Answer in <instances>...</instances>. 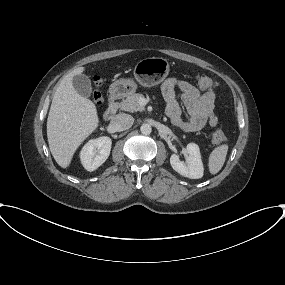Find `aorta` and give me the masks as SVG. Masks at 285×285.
Segmentation results:
<instances>
[{
  "instance_id": "1",
  "label": "aorta",
  "mask_w": 285,
  "mask_h": 285,
  "mask_svg": "<svg viewBox=\"0 0 285 285\" xmlns=\"http://www.w3.org/2000/svg\"><path fill=\"white\" fill-rule=\"evenodd\" d=\"M140 130H141V133L144 134V135H149L152 131V128L149 124L147 123H144L141 125L140 127Z\"/></svg>"
}]
</instances>
